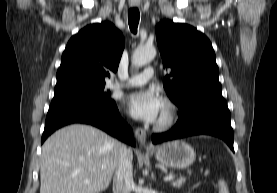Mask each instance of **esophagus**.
<instances>
[{"label": "esophagus", "instance_id": "34e87169", "mask_svg": "<svg viewBox=\"0 0 277 193\" xmlns=\"http://www.w3.org/2000/svg\"><path fill=\"white\" fill-rule=\"evenodd\" d=\"M130 5H131V7L138 6V4H136V3H131ZM135 136L141 145L151 147V145H149L147 143V135H146V132L142 128H137L135 130Z\"/></svg>", "mask_w": 277, "mask_h": 193}]
</instances>
